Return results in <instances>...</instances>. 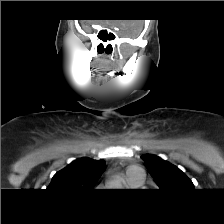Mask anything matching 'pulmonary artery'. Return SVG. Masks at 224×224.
Instances as JSON below:
<instances>
[{"label":"pulmonary artery","instance_id":"obj_1","mask_svg":"<svg viewBox=\"0 0 224 224\" xmlns=\"http://www.w3.org/2000/svg\"><path fill=\"white\" fill-rule=\"evenodd\" d=\"M127 181L133 186H140L143 183V172L136 167H130L126 174Z\"/></svg>","mask_w":224,"mask_h":224}]
</instances>
